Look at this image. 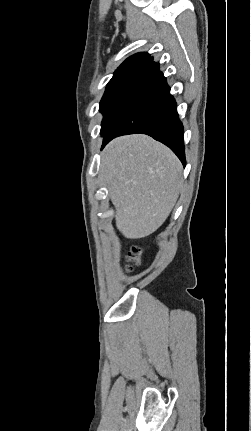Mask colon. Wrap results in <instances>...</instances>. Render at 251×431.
I'll return each instance as SVG.
<instances>
[{
  "label": "colon",
  "mask_w": 251,
  "mask_h": 431,
  "mask_svg": "<svg viewBox=\"0 0 251 431\" xmlns=\"http://www.w3.org/2000/svg\"><path fill=\"white\" fill-rule=\"evenodd\" d=\"M141 251L137 247H132V249L128 252V260L133 264L129 266V269H132L133 265H137L140 263Z\"/></svg>",
  "instance_id": "colon-1"
}]
</instances>
